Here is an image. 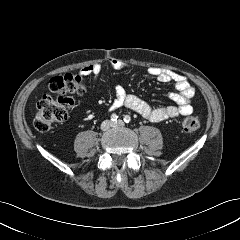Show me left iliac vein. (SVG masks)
I'll return each instance as SVG.
<instances>
[{"instance_id":"left-iliac-vein-1","label":"left iliac vein","mask_w":240,"mask_h":240,"mask_svg":"<svg viewBox=\"0 0 240 240\" xmlns=\"http://www.w3.org/2000/svg\"><path fill=\"white\" fill-rule=\"evenodd\" d=\"M117 126H124V122L122 120H118L114 122L113 127H117Z\"/></svg>"}]
</instances>
